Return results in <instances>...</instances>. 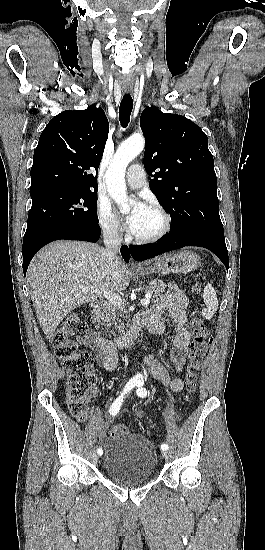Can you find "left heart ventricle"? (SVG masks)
<instances>
[{"label": "left heart ventricle", "mask_w": 265, "mask_h": 550, "mask_svg": "<svg viewBox=\"0 0 265 550\" xmlns=\"http://www.w3.org/2000/svg\"><path fill=\"white\" fill-rule=\"evenodd\" d=\"M162 227V218L155 211L147 208L140 216L133 233L138 236H149Z\"/></svg>", "instance_id": "1"}]
</instances>
